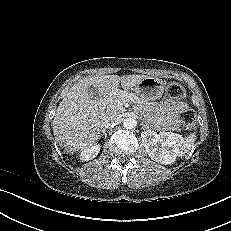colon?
<instances>
[{
	"label": "colon",
	"instance_id": "colon-1",
	"mask_svg": "<svg viewBox=\"0 0 231 231\" xmlns=\"http://www.w3.org/2000/svg\"><path fill=\"white\" fill-rule=\"evenodd\" d=\"M166 94L172 99L181 100L185 98L186 91L180 84L171 82L167 85ZM179 122L186 130H193L196 125L194 111L191 109L184 110L180 114Z\"/></svg>",
	"mask_w": 231,
	"mask_h": 231
}]
</instances>
